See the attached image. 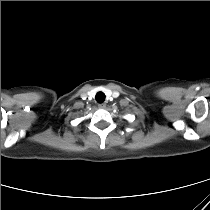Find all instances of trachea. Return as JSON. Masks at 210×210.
<instances>
[{
    "mask_svg": "<svg viewBox=\"0 0 210 210\" xmlns=\"http://www.w3.org/2000/svg\"><path fill=\"white\" fill-rule=\"evenodd\" d=\"M95 98L98 103H103L105 101V94L103 92H98Z\"/></svg>",
    "mask_w": 210,
    "mask_h": 210,
    "instance_id": "3493384b",
    "label": "trachea"
}]
</instances>
